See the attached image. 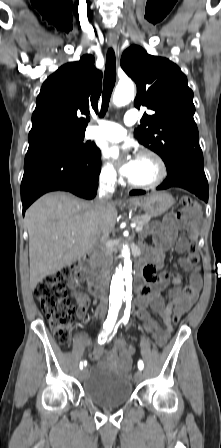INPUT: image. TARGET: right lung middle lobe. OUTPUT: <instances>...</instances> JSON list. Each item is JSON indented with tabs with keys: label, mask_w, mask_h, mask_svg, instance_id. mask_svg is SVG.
<instances>
[{
	"label": "right lung middle lobe",
	"mask_w": 221,
	"mask_h": 448,
	"mask_svg": "<svg viewBox=\"0 0 221 448\" xmlns=\"http://www.w3.org/2000/svg\"><path fill=\"white\" fill-rule=\"evenodd\" d=\"M84 134L72 137H65L57 139L35 148L28 149V151H35L41 149H60L68 151L78 157L87 158L93 155L98 148L94 144L83 143Z\"/></svg>",
	"instance_id": "obj_1"
}]
</instances>
